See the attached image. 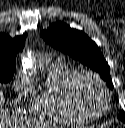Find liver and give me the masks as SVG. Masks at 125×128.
Instances as JSON below:
<instances>
[{"mask_svg": "<svg viewBox=\"0 0 125 128\" xmlns=\"http://www.w3.org/2000/svg\"><path fill=\"white\" fill-rule=\"evenodd\" d=\"M4 104V97L0 92V128H7V125H11V118L8 114L2 110V106ZM38 128H51V126L47 124H37Z\"/></svg>", "mask_w": 125, "mask_h": 128, "instance_id": "6515ba94", "label": "liver"}]
</instances>
